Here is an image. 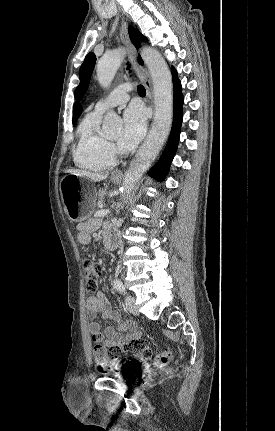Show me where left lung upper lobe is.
Masks as SVG:
<instances>
[{
    "mask_svg": "<svg viewBox=\"0 0 275 431\" xmlns=\"http://www.w3.org/2000/svg\"><path fill=\"white\" fill-rule=\"evenodd\" d=\"M140 38L143 41H147V39L140 34ZM95 61H96V57L94 55V53H89L86 57L85 60L83 62V64L80 67V71H79V77H80V84L78 85V87L75 90V97L76 98H81L82 95L85 93L88 85H89V80L95 65Z\"/></svg>",
    "mask_w": 275,
    "mask_h": 431,
    "instance_id": "left-lung-upper-lobe-1",
    "label": "left lung upper lobe"
}]
</instances>
